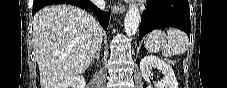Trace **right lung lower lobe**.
I'll list each match as a JSON object with an SVG mask.
<instances>
[{"instance_id": "right-lung-lower-lobe-1", "label": "right lung lower lobe", "mask_w": 227, "mask_h": 88, "mask_svg": "<svg viewBox=\"0 0 227 88\" xmlns=\"http://www.w3.org/2000/svg\"><path fill=\"white\" fill-rule=\"evenodd\" d=\"M54 3H67L81 7L83 9H90L97 15V18L102 27L105 30L108 27L110 13L99 10L88 0H34L32 15H35V13L39 11L42 7Z\"/></svg>"}]
</instances>
